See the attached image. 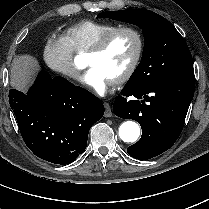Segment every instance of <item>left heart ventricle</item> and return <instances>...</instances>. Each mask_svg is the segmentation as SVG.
<instances>
[{
    "label": "left heart ventricle",
    "mask_w": 209,
    "mask_h": 209,
    "mask_svg": "<svg viewBox=\"0 0 209 209\" xmlns=\"http://www.w3.org/2000/svg\"><path fill=\"white\" fill-rule=\"evenodd\" d=\"M136 49L137 41L133 34L121 32L113 37L103 53L99 55L87 54L86 65L99 68L107 77L116 81L134 58Z\"/></svg>",
    "instance_id": "1"
}]
</instances>
